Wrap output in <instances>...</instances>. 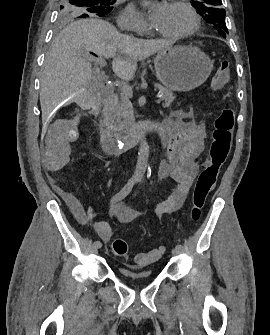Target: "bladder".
<instances>
[{
	"mask_svg": "<svg viewBox=\"0 0 270 335\" xmlns=\"http://www.w3.org/2000/svg\"><path fill=\"white\" fill-rule=\"evenodd\" d=\"M121 274L126 280L131 282H139L143 279H151L154 276L153 272L135 273L127 270L121 271Z\"/></svg>",
	"mask_w": 270,
	"mask_h": 335,
	"instance_id": "31cf9c89",
	"label": "bladder"
}]
</instances>
